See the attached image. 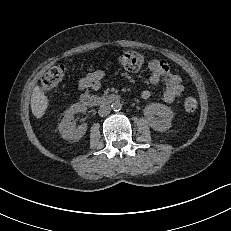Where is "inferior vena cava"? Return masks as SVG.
<instances>
[{
    "label": "inferior vena cava",
    "instance_id": "602c4592",
    "mask_svg": "<svg viewBox=\"0 0 231 231\" xmlns=\"http://www.w3.org/2000/svg\"><path fill=\"white\" fill-rule=\"evenodd\" d=\"M110 111H111V108L109 106L102 105V106H100V108L98 110V114L101 117H105L110 113Z\"/></svg>",
    "mask_w": 231,
    "mask_h": 231
}]
</instances>
